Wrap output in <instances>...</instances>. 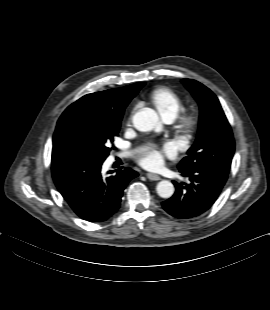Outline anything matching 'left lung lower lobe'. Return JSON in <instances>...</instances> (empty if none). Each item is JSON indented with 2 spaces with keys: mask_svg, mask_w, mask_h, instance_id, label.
Here are the masks:
<instances>
[{
  "mask_svg": "<svg viewBox=\"0 0 270 310\" xmlns=\"http://www.w3.org/2000/svg\"><path fill=\"white\" fill-rule=\"evenodd\" d=\"M180 172L188 177L189 183L178 184L173 181L176 191L162 203L163 208L178 219L194 218L210 209L228 178L227 174L201 167Z\"/></svg>",
  "mask_w": 270,
  "mask_h": 310,
  "instance_id": "left-lung-lower-lobe-1",
  "label": "left lung lower lobe"
}]
</instances>
